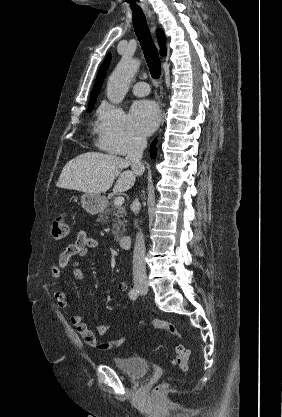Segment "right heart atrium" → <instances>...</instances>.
I'll use <instances>...</instances> for the list:
<instances>
[{"label": "right heart atrium", "mask_w": 282, "mask_h": 417, "mask_svg": "<svg viewBox=\"0 0 282 417\" xmlns=\"http://www.w3.org/2000/svg\"><path fill=\"white\" fill-rule=\"evenodd\" d=\"M96 133L100 147L113 154H131L143 144V137L131 126L125 112L111 105L105 107Z\"/></svg>", "instance_id": "right-heart-atrium-1"}]
</instances>
